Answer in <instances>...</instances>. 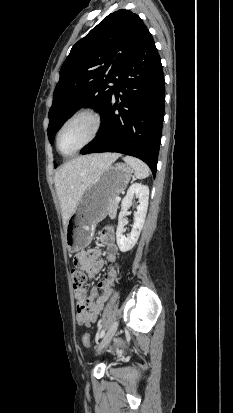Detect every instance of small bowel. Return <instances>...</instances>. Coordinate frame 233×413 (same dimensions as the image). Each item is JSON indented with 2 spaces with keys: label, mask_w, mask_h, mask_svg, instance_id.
<instances>
[{
  "label": "small bowel",
  "mask_w": 233,
  "mask_h": 413,
  "mask_svg": "<svg viewBox=\"0 0 233 413\" xmlns=\"http://www.w3.org/2000/svg\"><path fill=\"white\" fill-rule=\"evenodd\" d=\"M99 240L104 245V253L110 265L98 287H92L89 290H75L76 322L79 325L88 326L97 321L104 304L112 293L119 270V251L115 243L114 229L110 226L103 228L99 233ZM102 253L103 251L99 247L80 252L76 255L75 264L92 278L104 266V261L101 259ZM99 291H102L101 295H99Z\"/></svg>",
  "instance_id": "1"
}]
</instances>
